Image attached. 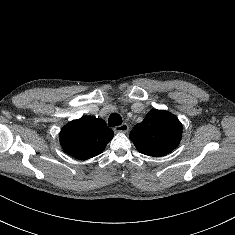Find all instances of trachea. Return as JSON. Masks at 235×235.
Here are the masks:
<instances>
[{"mask_svg": "<svg viewBox=\"0 0 235 235\" xmlns=\"http://www.w3.org/2000/svg\"><path fill=\"white\" fill-rule=\"evenodd\" d=\"M122 124V118L119 114L117 113H112L110 116H109V120H108V125L110 127H113V126H119Z\"/></svg>", "mask_w": 235, "mask_h": 235, "instance_id": "obj_1", "label": "trachea"}]
</instances>
